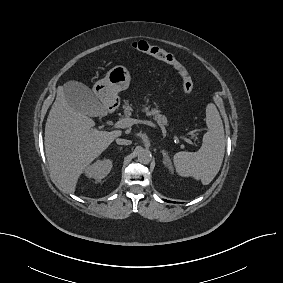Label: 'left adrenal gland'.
<instances>
[{"label": "left adrenal gland", "instance_id": "left-adrenal-gland-1", "mask_svg": "<svg viewBox=\"0 0 283 283\" xmlns=\"http://www.w3.org/2000/svg\"><path fill=\"white\" fill-rule=\"evenodd\" d=\"M162 154L164 157L163 163L165 164V166H167L169 168V170H172V163L171 160L168 156V153L165 150H162Z\"/></svg>", "mask_w": 283, "mask_h": 283}]
</instances>
